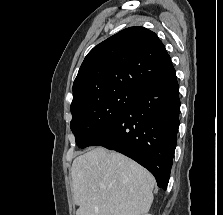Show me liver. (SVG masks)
I'll return each instance as SVG.
<instances>
[{"label":"liver","instance_id":"6515ba94","mask_svg":"<svg viewBox=\"0 0 223 215\" xmlns=\"http://www.w3.org/2000/svg\"><path fill=\"white\" fill-rule=\"evenodd\" d=\"M71 173L76 215H142L151 207L155 177L122 153L98 145L75 157Z\"/></svg>","mask_w":223,"mask_h":215}]
</instances>
